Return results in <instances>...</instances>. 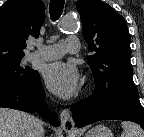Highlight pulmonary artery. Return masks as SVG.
Returning a JSON list of instances; mask_svg holds the SVG:
<instances>
[{
    "mask_svg": "<svg viewBox=\"0 0 144 137\" xmlns=\"http://www.w3.org/2000/svg\"><path fill=\"white\" fill-rule=\"evenodd\" d=\"M80 44L77 38L68 37L56 44L38 45L32 58L38 61H50L62 57L66 53H76Z\"/></svg>",
    "mask_w": 144,
    "mask_h": 137,
    "instance_id": "e3ab8cb5",
    "label": "pulmonary artery"
}]
</instances>
